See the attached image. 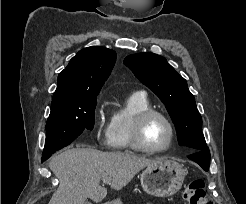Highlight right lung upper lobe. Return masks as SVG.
Listing matches in <instances>:
<instances>
[{"label": "right lung upper lobe", "instance_id": "right-lung-upper-lobe-1", "mask_svg": "<svg viewBox=\"0 0 246 204\" xmlns=\"http://www.w3.org/2000/svg\"><path fill=\"white\" fill-rule=\"evenodd\" d=\"M115 61L116 53L105 47L92 46L80 50L59 73L52 101L98 94Z\"/></svg>", "mask_w": 246, "mask_h": 204}]
</instances>
